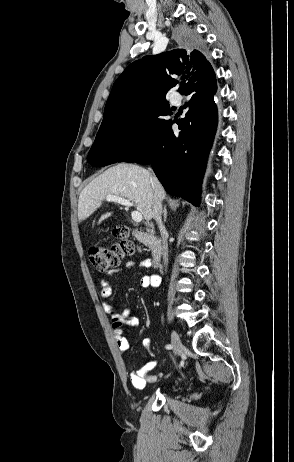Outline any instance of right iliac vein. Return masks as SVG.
Listing matches in <instances>:
<instances>
[{"instance_id":"obj_1","label":"right iliac vein","mask_w":294,"mask_h":462,"mask_svg":"<svg viewBox=\"0 0 294 462\" xmlns=\"http://www.w3.org/2000/svg\"><path fill=\"white\" fill-rule=\"evenodd\" d=\"M171 340L175 356H180L182 353L183 345L179 335L175 331L172 332Z\"/></svg>"}]
</instances>
